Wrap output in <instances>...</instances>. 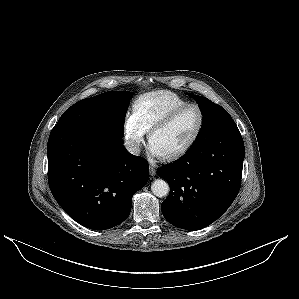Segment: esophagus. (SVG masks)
<instances>
[{
    "instance_id": "esophagus-1",
    "label": "esophagus",
    "mask_w": 299,
    "mask_h": 299,
    "mask_svg": "<svg viewBox=\"0 0 299 299\" xmlns=\"http://www.w3.org/2000/svg\"><path fill=\"white\" fill-rule=\"evenodd\" d=\"M149 173H150L151 176L156 175V169L154 168V166L149 165Z\"/></svg>"
}]
</instances>
